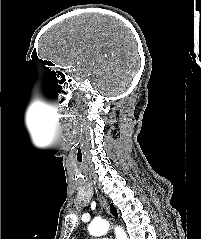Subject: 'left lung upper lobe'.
Here are the masks:
<instances>
[{"label":"left lung upper lobe","mask_w":201,"mask_h":239,"mask_svg":"<svg viewBox=\"0 0 201 239\" xmlns=\"http://www.w3.org/2000/svg\"><path fill=\"white\" fill-rule=\"evenodd\" d=\"M110 208H111V213H112L115 217H117L118 214H117V210L115 209V207H114L113 205H110Z\"/></svg>","instance_id":"1"}]
</instances>
